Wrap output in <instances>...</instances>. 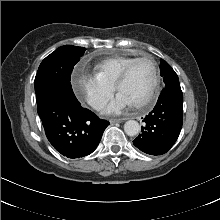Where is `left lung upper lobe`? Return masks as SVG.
I'll list each match as a JSON object with an SVG mask.
<instances>
[{
  "label": "left lung upper lobe",
  "instance_id": "left-lung-upper-lobe-1",
  "mask_svg": "<svg viewBox=\"0 0 220 220\" xmlns=\"http://www.w3.org/2000/svg\"><path fill=\"white\" fill-rule=\"evenodd\" d=\"M160 72L166 86L179 84L177 74L165 60H161Z\"/></svg>",
  "mask_w": 220,
  "mask_h": 220
}]
</instances>
